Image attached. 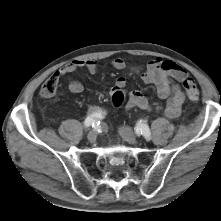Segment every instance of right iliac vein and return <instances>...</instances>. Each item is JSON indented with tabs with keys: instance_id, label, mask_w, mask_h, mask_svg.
Wrapping results in <instances>:
<instances>
[{
	"instance_id": "63e3f726",
	"label": "right iliac vein",
	"mask_w": 221,
	"mask_h": 221,
	"mask_svg": "<svg viewBox=\"0 0 221 221\" xmlns=\"http://www.w3.org/2000/svg\"><path fill=\"white\" fill-rule=\"evenodd\" d=\"M87 138L90 143H94L97 138V132L95 130L90 131L87 135Z\"/></svg>"
}]
</instances>
